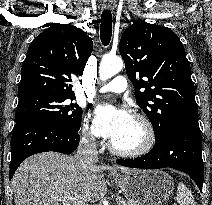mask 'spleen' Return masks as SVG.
I'll return each instance as SVG.
<instances>
[{"label": "spleen", "mask_w": 212, "mask_h": 205, "mask_svg": "<svg viewBox=\"0 0 212 205\" xmlns=\"http://www.w3.org/2000/svg\"><path fill=\"white\" fill-rule=\"evenodd\" d=\"M176 200L180 205H196L192 193L183 182L178 184Z\"/></svg>", "instance_id": "spleen-1"}]
</instances>
